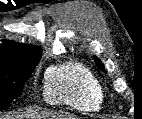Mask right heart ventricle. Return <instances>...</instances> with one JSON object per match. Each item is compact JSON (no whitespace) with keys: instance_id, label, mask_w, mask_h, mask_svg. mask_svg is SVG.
Listing matches in <instances>:
<instances>
[{"instance_id":"right-heart-ventricle-1","label":"right heart ventricle","mask_w":142,"mask_h":119,"mask_svg":"<svg viewBox=\"0 0 142 119\" xmlns=\"http://www.w3.org/2000/svg\"><path fill=\"white\" fill-rule=\"evenodd\" d=\"M44 97L50 104H67L91 112L100 108L104 92L100 82L85 66L68 62L47 70Z\"/></svg>"}]
</instances>
